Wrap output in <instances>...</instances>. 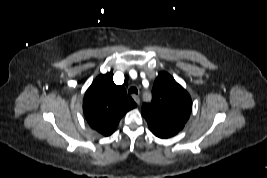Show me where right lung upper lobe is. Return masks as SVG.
<instances>
[{"label":"right lung upper lobe","mask_w":267,"mask_h":178,"mask_svg":"<svg viewBox=\"0 0 267 178\" xmlns=\"http://www.w3.org/2000/svg\"><path fill=\"white\" fill-rule=\"evenodd\" d=\"M137 105L123 86L114 84L109 73L99 75L85 93L83 112L90 127L111 135L120 119Z\"/></svg>","instance_id":"cb5924a9"}]
</instances>
